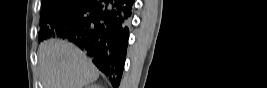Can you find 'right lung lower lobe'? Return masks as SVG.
Listing matches in <instances>:
<instances>
[{
	"label": "right lung lower lobe",
	"instance_id": "obj_1",
	"mask_svg": "<svg viewBox=\"0 0 267 88\" xmlns=\"http://www.w3.org/2000/svg\"><path fill=\"white\" fill-rule=\"evenodd\" d=\"M132 6L133 0H79L43 28L44 39L57 36L75 43L116 87L125 63Z\"/></svg>",
	"mask_w": 267,
	"mask_h": 88
}]
</instances>
